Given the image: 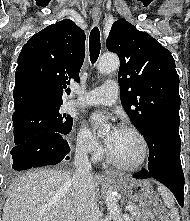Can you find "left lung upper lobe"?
Returning <instances> with one entry per match:
<instances>
[{
  "label": "left lung upper lobe",
  "mask_w": 190,
  "mask_h": 221,
  "mask_svg": "<svg viewBox=\"0 0 190 221\" xmlns=\"http://www.w3.org/2000/svg\"><path fill=\"white\" fill-rule=\"evenodd\" d=\"M120 59L122 105L139 132L154 123H180L179 76L170 51L126 20L113 23L106 41Z\"/></svg>",
  "instance_id": "1"
}]
</instances>
